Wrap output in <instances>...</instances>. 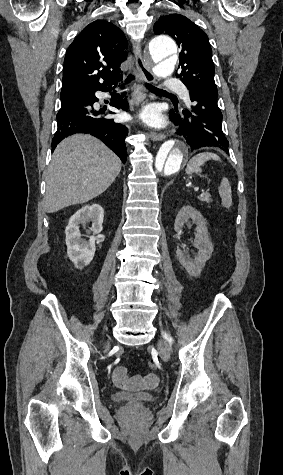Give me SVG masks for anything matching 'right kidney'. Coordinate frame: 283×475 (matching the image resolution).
Segmentation results:
<instances>
[{
    "label": "right kidney",
    "instance_id": "ca27d5eb",
    "mask_svg": "<svg viewBox=\"0 0 283 475\" xmlns=\"http://www.w3.org/2000/svg\"><path fill=\"white\" fill-rule=\"evenodd\" d=\"M103 220L104 210L99 204H92V206L87 204L71 216L65 230L67 255L78 269H83L85 265L92 261L96 249L95 236L102 232ZM85 222H92L89 230L93 232V236H90L88 241L82 239L79 232V224H85Z\"/></svg>",
    "mask_w": 283,
    "mask_h": 475
}]
</instances>
